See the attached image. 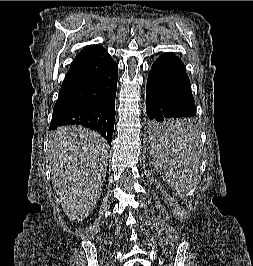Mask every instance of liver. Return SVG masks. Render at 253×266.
I'll return each instance as SVG.
<instances>
[{"label":"liver","mask_w":253,"mask_h":266,"mask_svg":"<svg viewBox=\"0 0 253 266\" xmlns=\"http://www.w3.org/2000/svg\"><path fill=\"white\" fill-rule=\"evenodd\" d=\"M106 140L81 126H66L51 133L48 160L55 192L73 222L85 219L100 197L109 155Z\"/></svg>","instance_id":"6515ba94"}]
</instances>
